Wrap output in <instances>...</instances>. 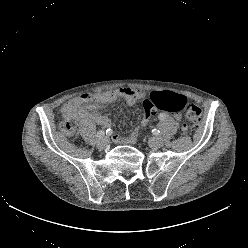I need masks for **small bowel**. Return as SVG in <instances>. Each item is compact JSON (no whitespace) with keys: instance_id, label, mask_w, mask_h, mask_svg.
Segmentation results:
<instances>
[{"instance_id":"obj_1","label":"small bowel","mask_w":248,"mask_h":248,"mask_svg":"<svg viewBox=\"0 0 248 248\" xmlns=\"http://www.w3.org/2000/svg\"><path fill=\"white\" fill-rule=\"evenodd\" d=\"M144 96V91L129 87H122L98 93L88 92L66 102L61 108V113L67 119L87 117L99 125L109 127L111 123L110 119L106 115L100 113L97 106H92L90 103L95 102L98 105H105L122 98L127 104L135 105L138 101L144 98ZM175 118L180 119V115L176 114ZM178 130L181 133H186L189 130V125L186 122H181L178 125ZM136 136L137 130H135L129 137H124L120 133H116L114 140L117 143L132 144L136 141Z\"/></svg>"}]
</instances>
